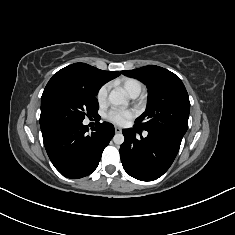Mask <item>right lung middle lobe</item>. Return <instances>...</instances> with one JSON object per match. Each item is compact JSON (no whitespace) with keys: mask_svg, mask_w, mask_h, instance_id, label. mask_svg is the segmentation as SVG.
Here are the masks:
<instances>
[{"mask_svg":"<svg viewBox=\"0 0 235 235\" xmlns=\"http://www.w3.org/2000/svg\"><path fill=\"white\" fill-rule=\"evenodd\" d=\"M98 91L66 75H53L41 97L40 124L82 122L86 115H97Z\"/></svg>","mask_w":235,"mask_h":235,"instance_id":"right-lung-middle-lobe-1","label":"right lung middle lobe"}]
</instances>
